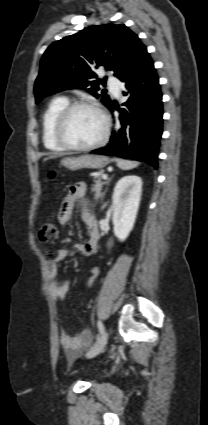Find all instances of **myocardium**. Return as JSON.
<instances>
[{"label": "myocardium", "instance_id": "obj_1", "mask_svg": "<svg viewBox=\"0 0 208 425\" xmlns=\"http://www.w3.org/2000/svg\"><path fill=\"white\" fill-rule=\"evenodd\" d=\"M90 109L96 111L102 118L104 128L100 138L92 144L86 146H79L72 144L66 137V130L69 123V120L72 114L78 109ZM110 118L106 111L101 108L99 105L89 102V101H75L68 103L66 107L60 112L56 119L55 128H54V138L56 142L63 147L65 150L74 151V152H87L94 150L102 145H104L109 137L110 133Z\"/></svg>", "mask_w": 208, "mask_h": 425}]
</instances>
